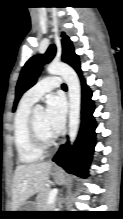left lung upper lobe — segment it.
I'll return each instance as SVG.
<instances>
[{"mask_svg": "<svg viewBox=\"0 0 123 219\" xmlns=\"http://www.w3.org/2000/svg\"><path fill=\"white\" fill-rule=\"evenodd\" d=\"M62 37V60L75 68L79 65V58L74 52V48L69 37L64 33L62 34ZM55 53V45H51L44 55H34L26 62L17 82L16 97L13 107L14 110L22 94L36 83V80L42 70V66L46 62H50L55 56Z\"/></svg>", "mask_w": 123, "mask_h": 219, "instance_id": "1", "label": "left lung upper lobe"}]
</instances>
